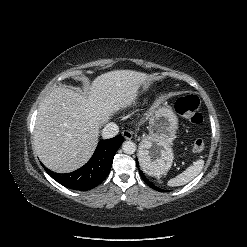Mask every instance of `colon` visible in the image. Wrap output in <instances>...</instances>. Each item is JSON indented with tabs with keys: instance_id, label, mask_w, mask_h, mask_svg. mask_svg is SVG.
I'll use <instances>...</instances> for the list:
<instances>
[{
	"instance_id": "colon-1",
	"label": "colon",
	"mask_w": 247,
	"mask_h": 247,
	"mask_svg": "<svg viewBox=\"0 0 247 247\" xmlns=\"http://www.w3.org/2000/svg\"><path fill=\"white\" fill-rule=\"evenodd\" d=\"M200 101L195 95H187L180 97L175 103L176 111L184 116L193 124L202 122V115L199 112ZM205 149V142L202 139H197L193 143V151L200 153Z\"/></svg>"
}]
</instances>
